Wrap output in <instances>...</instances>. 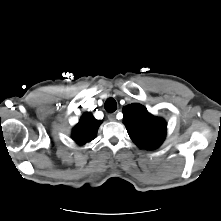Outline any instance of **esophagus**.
Segmentation results:
<instances>
[{
	"instance_id": "esophagus-1",
	"label": "esophagus",
	"mask_w": 221,
	"mask_h": 221,
	"mask_svg": "<svg viewBox=\"0 0 221 221\" xmlns=\"http://www.w3.org/2000/svg\"><path fill=\"white\" fill-rule=\"evenodd\" d=\"M109 121H116V115L114 113L108 114Z\"/></svg>"
}]
</instances>
